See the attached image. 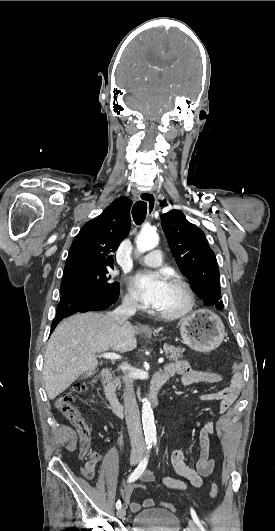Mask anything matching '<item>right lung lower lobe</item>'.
Masks as SVG:
<instances>
[{"label": "right lung lower lobe", "mask_w": 275, "mask_h": 531, "mask_svg": "<svg viewBox=\"0 0 275 531\" xmlns=\"http://www.w3.org/2000/svg\"><path fill=\"white\" fill-rule=\"evenodd\" d=\"M119 294L110 299H102L89 291L82 289H68L61 291L60 302L51 325V332L64 318L78 312L99 311L107 309L118 300Z\"/></svg>", "instance_id": "1"}]
</instances>
